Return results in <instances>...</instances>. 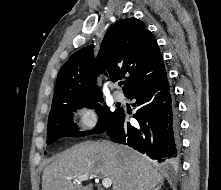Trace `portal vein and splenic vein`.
Wrapping results in <instances>:
<instances>
[{
  "label": "portal vein and splenic vein",
  "mask_w": 221,
  "mask_h": 190,
  "mask_svg": "<svg viewBox=\"0 0 221 190\" xmlns=\"http://www.w3.org/2000/svg\"><path fill=\"white\" fill-rule=\"evenodd\" d=\"M90 177L89 174H85V175H81V176H78V177H69L67 178L69 181H72L74 183L76 182H82V181H85V180H88ZM102 185L104 188H109L111 185H112V180L110 178H103L102 179Z\"/></svg>",
  "instance_id": "obj_1"
}]
</instances>
